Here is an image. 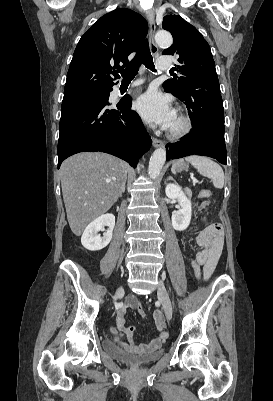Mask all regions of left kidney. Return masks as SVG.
<instances>
[{"mask_svg": "<svg viewBox=\"0 0 273 401\" xmlns=\"http://www.w3.org/2000/svg\"><path fill=\"white\" fill-rule=\"evenodd\" d=\"M165 192L168 198H179V205L181 207V209L175 211L171 217L173 229H175V231H185V229L189 227L191 221V201H189V198H187L179 184H167Z\"/></svg>", "mask_w": 273, "mask_h": 401, "instance_id": "1", "label": "left kidney"}]
</instances>
